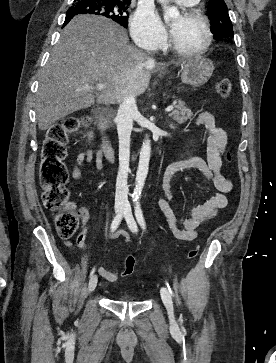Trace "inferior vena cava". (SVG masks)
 I'll return each instance as SVG.
<instances>
[{
	"label": "inferior vena cava",
	"mask_w": 276,
	"mask_h": 363,
	"mask_svg": "<svg viewBox=\"0 0 276 363\" xmlns=\"http://www.w3.org/2000/svg\"><path fill=\"white\" fill-rule=\"evenodd\" d=\"M148 65H153L154 60L147 59ZM138 112L135 95L129 93L120 104L115 121L119 136V171L116 181L115 206L128 204L127 177L129 172L130 135L133 127V118Z\"/></svg>",
	"instance_id": "602c4592"
}]
</instances>
